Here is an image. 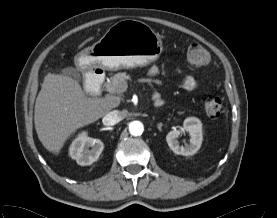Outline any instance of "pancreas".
Masks as SVG:
<instances>
[{"instance_id": "obj_1", "label": "pancreas", "mask_w": 277, "mask_h": 218, "mask_svg": "<svg viewBox=\"0 0 277 218\" xmlns=\"http://www.w3.org/2000/svg\"><path fill=\"white\" fill-rule=\"evenodd\" d=\"M130 76L125 72H119L110 78V82L106 85L107 90L112 94H122L126 91L127 81Z\"/></svg>"}]
</instances>
